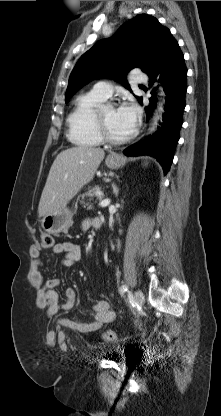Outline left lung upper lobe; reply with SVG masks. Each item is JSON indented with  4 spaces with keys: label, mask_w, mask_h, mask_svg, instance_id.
I'll return each mask as SVG.
<instances>
[{
    "label": "left lung upper lobe",
    "mask_w": 221,
    "mask_h": 416,
    "mask_svg": "<svg viewBox=\"0 0 221 416\" xmlns=\"http://www.w3.org/2000/svg\"><path fill=\"white\" fill-rule=\"evenodd\" d=\"M168 30L155 17L140 14L122 25L112 37L98 41L75 65L65 101L92 79L105 76L116 77L131 91L127 81L122 79L123 73L136 67L145 72ZM138 100L141 101V98Z\"/></svg>",
    "instance_id": "left-lung-upper-lobe-1"
}]
</instances>
